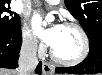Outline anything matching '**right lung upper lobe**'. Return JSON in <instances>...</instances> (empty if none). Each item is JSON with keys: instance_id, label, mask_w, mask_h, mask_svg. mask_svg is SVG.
<instances>
[{"instance_id": "obj_1", "label": "right lung upper lobe", "mask_w": 102, "mask_h": 75, "mask_svg": "<svg viewBox=\"0 0 102 75\" xmlns=\"http://www.w3.org/2000/svg\"><path fill=\"white\" fill-rule=\"evenodd\" d=\"M0 2H10L9 0H0Z\"/></svg>"}]
</instances>
